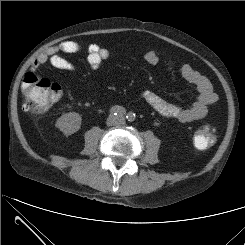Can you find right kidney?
Listing matches in <instances>:
<instances>
[{"label": "right kidney", "instance_id": "right-kidney-1", "mask_svg": "<svg viewBox=\"0 0 245 245\" xmlns=\"http://www.w3.org/2000/svg\"><path fill=\"white\" fill-rule=\"evenodd\" d=\"M81 121V116L78 113L69 112L58 118L55 125L65 135H71L80 129Z\"/></svg>", "mask_w": 245, "mask_h": 245}]
</instances>
